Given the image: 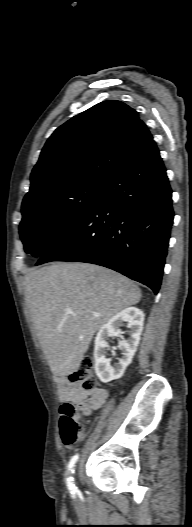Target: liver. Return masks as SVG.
I'll use <instances>...</instances> for the list:
<instances>
[{
    "label": "liver",
    "instance_id": "obj_1",
    "mask_svg": "<svg viewBox=\"0 0 192 527\" xmlns=\"http://www.w3.org/2000/svg\"><path fill=\"white\" fill-rule=\"evenodd\" d=\"M24 293L50 369L60 377L78 370L93 335L142 296L127 277L86 263H54L31 271Z\"/></svg>",
    "mask_w": 192,
    "mask_h": 527
}]
</instances>
